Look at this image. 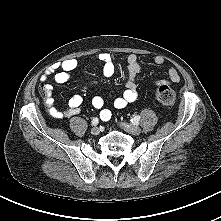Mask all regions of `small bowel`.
Returning <instances> with one entry per match:
<instances>
[{
	"label": "small bowel",
	"instance_id": "small-bowel-1",
	"mask_svg": "<svg viewBox=\"0 0 221 221\" xmlns=\"http://www.w3.org/2000/svg\"><path fill=\"white\" fill-rule=\"evenodd\" d=\"M95 58L102 63L103 76L106 78L111 77L115 72V65L112 56L109 53L103 52L95 55ZM126 60L128 79L124 92L113 102V105L116 109H123L128 104L136 101L138 98L136 76L140 71V65L135 54H129ZM154 62L157 65H162L164 63V58L162 56H156ZM78 64L79 63L77 59L69 58L60 64L52 66V68L47 73L41 76L43 88L48 92L51 91L52 87L47 83V80L51 74H53L54 81L57 84H64L68 82L71 79L72 72L77 69ZM167 75L168 81H160V83H177L180 81V75L174 67L168 68ZM82 103V96L79 94H74L68 101V107L63 111H58L53 107V99L49 96L46 98V104L49 113L56 118H69L79 114ZM91 104L95 109L100 111L99 116L101 120L109 121L111 119L112 113L109 109L104 107V99L101 96H94L91 100Z\"/></svg>",
	"mask_w": 221,
	"mask_h": 221
}]
</instances>
